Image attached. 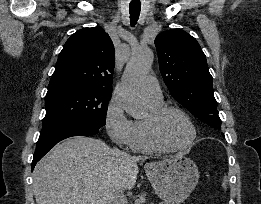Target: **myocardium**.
Instances as JSON below:
<instances>
[{"label": "myocardium", "instance_id": "obj_1", "mask_svg": "<svg viewBox=\"0 0 261 204\" xmlns=\"http://www.w3.org/2000/svg\"><path fill=\"white\" fill-rule=\"evenodd\" d=\"M170 113L180 114L182 117L186 119V121L191 127L192 137L185 145L182 146L173 145L163 135L162 123L164 118ZM146 122L154 140L162 147L171 151H184L190 148L194 144L197 138V128L195 126L194 121L185 110H183L178 106L163 105L160 108L151 111L146 118Z\"/></svg>", "mask_w": 261, "mask_h": 204}]
</instances>
